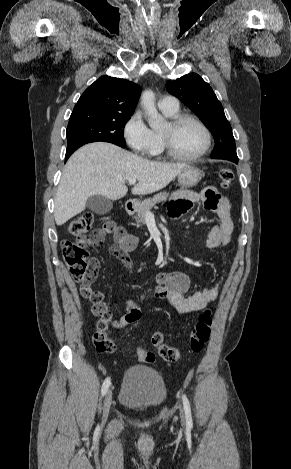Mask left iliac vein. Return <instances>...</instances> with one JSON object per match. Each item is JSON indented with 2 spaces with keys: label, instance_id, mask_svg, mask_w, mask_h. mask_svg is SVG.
<instances>
[{
  "label": "left iliac vein",
  "instance_id": "1",
  "mask_svg": "<svg viewBox=\"0 0 291 469\" xmlns=\"http://www.w3.org/2000/svg\"><path fill=\"white\" fill-rule=\"evenodd\" d=\"M180 416H181V421L184 422V412L182 409H180Z\"/></svg>",
  "mask_w": 291,
  "mask_h": 469
}]
</instances>
